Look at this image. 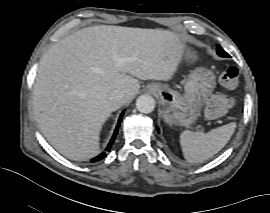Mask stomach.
<instances>
[{
	"instance_id": "stomach-1",
	"label": "stomach",
	"mask_w": 270,
	"mask_h": 213,
	"mask_svg": "<svg viewBox=\"0 0 270 213\" xmlns=\"http://www.w3.org/2000/svg\"><path fill=\"white\" fill-rule=\"evenodd\" d=\"M194 57L193 50L185 47L183 59L190 61ZM215 86L216 80L213 72L198 68L186 80L183 94L161 83H152L147 88L158 95L162 105L163 119L166 123L190 127L197 121L204 102Z\"/></svg>"
}]
</instances>
